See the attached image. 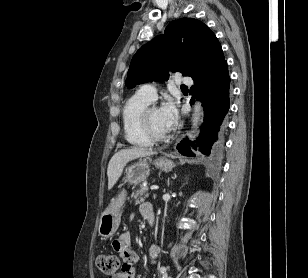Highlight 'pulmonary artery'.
<instances>
[{"mask_svg":"<svg viewBox=\"0 0 308 278\" xmlns=\"http://www.w3.org/2000/svg\"><path fill=\"white\" fill-rule=\"evenodd\" d=\"M177 84L190 86L192 85V79L190 77L182 76L177 79ZM138 93L150 102L154 101L157 97V90L151 84H145L141 86L138 90Z\"/></svg>","mask_w":308,"mask_h":278,"instance_id":"obj_1","label":"pulmonary artery"}]
</instances>
